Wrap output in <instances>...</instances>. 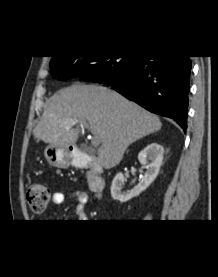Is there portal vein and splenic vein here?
<instances>
[{"mask_svg":"<svg viewBox=\"0 0 218 277\" xmlns=\"http://www.w3.org/2000/svg\"><path fill=\"white\" fill-rule=\"evenodd\" d=\"M76 123H77V121L66 122V124H71V125H74ZM81 125L85 126L86 128H88V124L86 122L82 123ZM67 128L69 129L70 127H67ZM99 144H100V141H99L98 137L97 136H93V138H92V145L94 147H97V146H99Z\"/></svg>","mask_w":218,"mask_h":277,"instance_id":"obj_1","label":"portal vein and splenic vein"}]
</instances>
